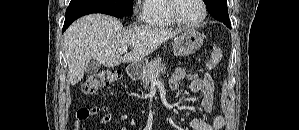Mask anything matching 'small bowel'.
Returning <instances> with one entry per match:
<instances>
[{"label":"small bowel","mask_w":299,"mask_h":130,"mask_svg":"<svg viewBox=\"0 0 299 130\" xmlns=\"http://www.w3.org/2000/svg\"><path fill=\"white\" fill-rule=\"evenodd\" d=\"M186 71L183 68H177L171 79L170 86L172 89H178L180 83L184 80ZM191 93H200L202 95L201 105L207 113L214 110V83L208 71L202 70L200 77L189 84ZM100 112H105L101 118L102 124H108L112 121L114 115L109 112L106 106H96L90 110V115H96ZM225 125V120L222 115H217L212 122H206L198 118H194L190 122V127L193 130H221ZM74 130H78L75 128ZM121 130H127L122 128Z\"/></svg>","instance_id":"c3829d8e"}]
</instances>
